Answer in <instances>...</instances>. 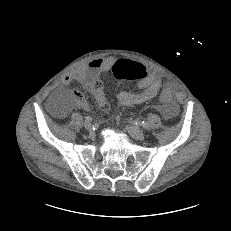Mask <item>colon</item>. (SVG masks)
<instances>
[{
	"instance_id": "colon-1",
	"label": "colon",
	"mask_w": 231,
	"mask_h": 231,
	"mask_svg": "<svg viewBox=\"0 0 231 231\" xmlns=\"http://www.w3.org/2000/svg\"><path fill=\"white\" fill-rule=\"evenodd\" d=\"M112 75L117 80H139L146 76L145 67L135 61L129 59H120L116 61L111 68ZM92 91L97 94L102 100V108L107 109L108 104L103 95V84L99 79H96L92 84ZM172 94L169 90L161 93L160 99L163 102L170 101Z\"/></svg>"
}]
</instances>
